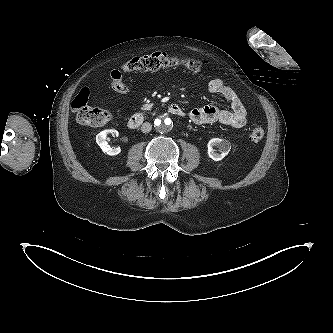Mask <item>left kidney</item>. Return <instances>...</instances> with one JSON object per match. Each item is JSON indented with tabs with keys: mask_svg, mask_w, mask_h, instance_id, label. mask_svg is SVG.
Masks as SVG:
<instances>
[{
	"mask_svg": "<svg viewBox=\"0 0 333 333\" xmlns=\"http://www.w3.org/2000/svg\"><path fill=\"white\" fill-rule=\"evenodd\" d=\"M208 156L214 161L222 160L231 150L229 141L219 138H212L207 144ZM217 147L220 153H217L214 148Z\"/></svg>",
	"mask_w": 333,
	"mask_h": 333,
	"instance_id": "left-kidney-1",
	"label": "left kidney"
}]
</instances>
